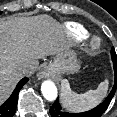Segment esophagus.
<instances>
[{
    "instance_id": "34e87169",
    "label": "esophagus",
    "mask_w": 117,
    "mask_h": 117,
    "mask_svg": "<svg viewBox=\"0 0 117 117\" xmlns=\"http://www.w3.org/2000/svg\"><path fill=\"white\" fill-rule=\"evenodd\" d=\"M39 78H46L48 76L46 71H40L38 74Z\"/></svg>"
}]
</instances>
